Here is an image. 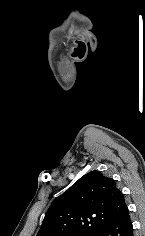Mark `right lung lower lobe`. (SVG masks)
<instances>
[{
    "instance_id": "obj_1",
    "label": "right lung lower lobe",
    "mask_w": 145,
    "mask_h": 236,
    "mask_svg": "<svg viewBox=\"0 0 145 236\" xmlns=\"http://www.w3.org/2000/svg\"><path fill=\"white\" fill-rule=\"evenodd\" d=\"M95 236H133L128 208L98 231Z\"/></svg>"
}]
</instances>
